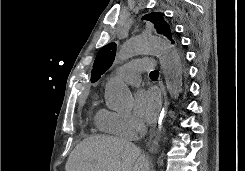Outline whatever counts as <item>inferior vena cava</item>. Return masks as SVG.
<instances>
[{"label": "inferior vena cava", "instance_id": "obj_1", "mask_svg": "<svg viewBox=\"0 0 245 171\" xmlns=\"http://www.w3.org/2000/svg\"><path fill=\"white\" fill-rule=\"evenodd\" d=\"M140 129H141V134L143 135L145 133V129H146V127L143 123L140 125Z\"/></svg>", "mask_w": 245, "mask_h": 171}]
</instances>
